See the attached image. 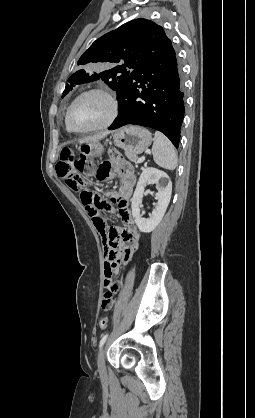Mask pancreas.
<instances>
[{"label": "pancreas", "instance_id": "1", "mask_svg": "<svg viewBox=\"0 0 255 418\" xmlns=\"http://www.w3.org/2000/svg\"><path fill=\"white\" fill-rule=\"evenodd\" d=\"M125 155L130 161H132V162L137 161V158H138L137 155H134V154L129 153V152H125Z\"/></svg>", "mask_w": 255, "mask_h": 418}]
</instances>
